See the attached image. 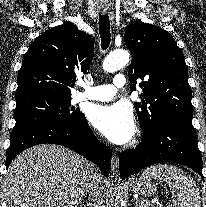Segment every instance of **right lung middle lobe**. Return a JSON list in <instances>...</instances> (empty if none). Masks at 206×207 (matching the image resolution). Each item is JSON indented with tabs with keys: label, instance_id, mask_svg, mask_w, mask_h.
<instances>
[{
	"label": "right lung middle lobe",
	"instance_id": "right-lung-middle-lobe-1",
	"mask_svg": "<svg viewBox=\"0 0 206 207\" xmlns=\"http://www.w3.org/2000/svg\"><path fill=\"white\" fill-rule=\"evenodd\" d=\"M12 132L49 122L79 123L85 116L71 107V95L36 94L16 100Z\"/></svg>",
	"mask_w": 206,
	"mask_h": 207
}]
</instances>
